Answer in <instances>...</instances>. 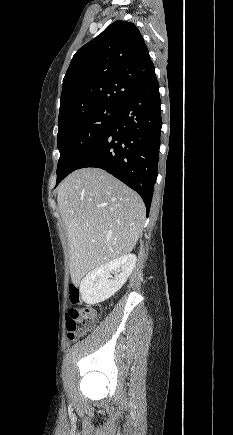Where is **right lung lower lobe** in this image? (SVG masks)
<instances>
[{
  "label": "right lung lower lobe",
  "instance_id": "right-lung-lower-lobe-1",
  "mask_svg": "<svg viewBox=\"0 0 233 435\" xmlns=\"http://www.w3.org/2000/svg\"><path fill=\"white\" fill-rule=\"evenodd\" d=\"M160 105L159 84L154 76L127 98L105 133L65 177L80 168L104 169L138 192L148 214L157 178Z\"/></svg>",
  "mask_w": 233,
  "mask_h": 435
}]
</instances>
